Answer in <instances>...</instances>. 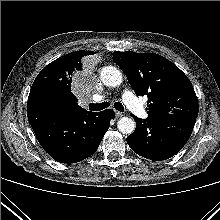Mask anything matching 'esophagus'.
<instances>
[{
    "label": "esophagus",
    "mask_w": 220,
    "mask_h": 220,
    "mask_svg": "<svg viewBox=\"0 0 220 220\" xmlns=\"http://www.w3.org/2000/svg\"><path fill=\"white\" fill-rule=\"evenodd\" d=\"M123 116V113L119 112V111H115V117H121Z\"/></svg>",
    "instance_id": "obj_1"
}]
</instances>
